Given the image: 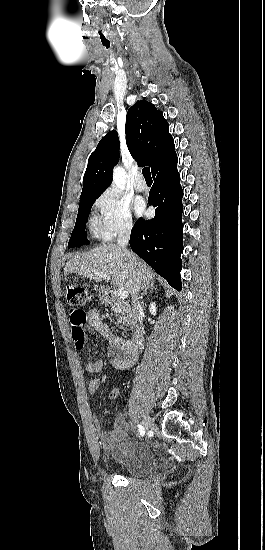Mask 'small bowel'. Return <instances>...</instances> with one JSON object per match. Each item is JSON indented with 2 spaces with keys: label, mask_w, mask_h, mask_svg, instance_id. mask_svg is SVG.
<instances>
[{
  "label": "small bowel",
  "mask_w": 265,
  "mask_h": 550,
  "mask_svg": "<svg viewBox=\"0 0 265 550\" xmlns=\"http://www.w3.org/2000/svg\"><path fill=\"white\" fill-rule=\"evenodd\" d=\"M89 330L99 335L103 340L113 347L110 354V362L120 370H128L135 365L138 360V351L133 350L128 339L114 335L109 327L102 321L97 310L92 309L86 314V323L80 337H77L76 346L81 348L84 344V330ZM102 359L88 361L85 365L87 372L92 374L100 373L103 369ZM101 383L98 379L90 381L88 391L91 396L95 395L100 388ZM116 429L111 432L99 431L101 444L108 448L114 439L122 436L127 429V420L123 413L117 412L114 417Z\"/></svg>",
  "instance_id": "c3829d8e"
}]
</instances>
